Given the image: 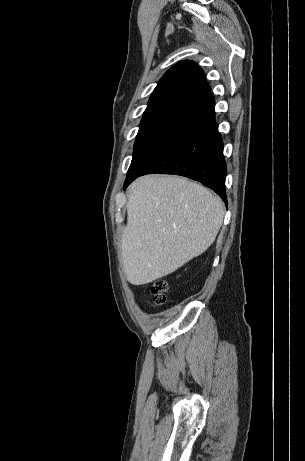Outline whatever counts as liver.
Returning a JSON list of instances; mask_svg holds the SVG:
<instances>
[{"label":"liver","instance_id":"1","mask_svg":"<svg viewBox=\"0 0 305 461\" xmlns=\"http://www.w3.org/2000/svg\"><path fill=\"white\" fill-rule=\"evenodd\" d=\"M223 217L222 201L202 185L177 176L138 178L129 188L121 239L127 280L151 283L201 255Z\"/></svg>","mask_w":305,"mask_h":461}]
</instances>
